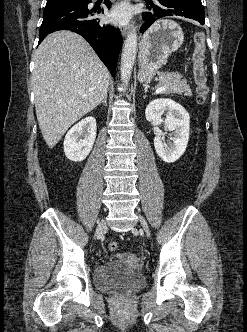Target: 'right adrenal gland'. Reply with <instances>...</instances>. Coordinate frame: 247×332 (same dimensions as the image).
Instances as JSON below:
<instances>
[{
	"label": "right adrenal gland",
	"mask_w": 247,
	"mask_h": 332,
	"mask_svg": "<svg viewBox=\"0 0 247 332\" xmlns=\"http://www.w3.org/2000/svg\"><path fill=\"white\" fill-rule=\"evenodd\" d=\"M104 104L105 106H107V95L104 97V99L102 100V102L100 103L101 104Z\"/></svg>",
	"instance_id": "right-adrenal-gland-1"
}]
</instances>
